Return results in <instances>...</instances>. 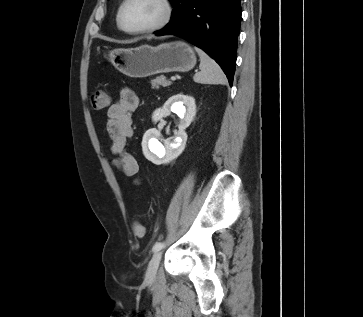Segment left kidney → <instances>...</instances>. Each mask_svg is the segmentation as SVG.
I'll return each mask as SVG.
<instances>
[{
  "label": "left kidney",
  "mask_w": 363,
  "mask_h": 317,
  "mask_svg": "<svg viewBox=\"0 0 363 317\" xmlns=\"http://www.w3.org/2000/svg\"><path fill=\"white\" fill-rule=\"evenodd\" d=\"M171 112L176 113L180 118L178 122L179 131L172 141L162 139L160 132L155 128L149 129L143 136V154L146 159L157 165L171 162L185 149L187 141L185 129L191 124L196 115L195 99L182 93L170 97L162 108L153 112L152 121L156 123L163 117L169 116ZM158 139L163 141L164 146Z\"/></svg>",
  "instance_id": "obj_1"
}]
</instances>
